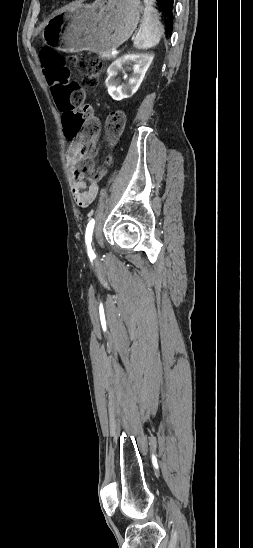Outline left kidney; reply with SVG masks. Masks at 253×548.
<instances>
[{
  "label": "left kidney",
  "instance_id": "obj_1",
  "mask_svg": "<svg viewBox=\"0 0 253 548\" xmlns=\"http://www.w3.org/2000/svg\"><path fill=\"white\" fill-rule=\"evenodd\" d=\"M152 54H127L116 59L107 69L108 77L105 81L112 99L120 101L131 97L140 87L144 76L153 61ZM134 64L132 76L126 84H121L116 78L118 71L126 64Z\"/></svg>",
  "mask_w": 253,
  "mask_h": 548
}]
</instances>
